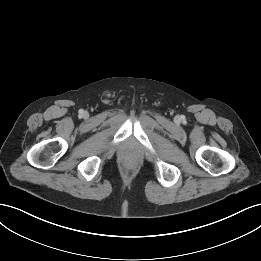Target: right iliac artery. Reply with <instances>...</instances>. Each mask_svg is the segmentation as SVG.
I'll return each instance as SVG.
<instances>
[{
	"label": "right iliac artery",
	"mask_w": 261,
	"mask_h": 261,
	"mask_svg": "<svg viewBox=\"0 0 261 261\" xmlns=\"http://www.w3.org/2000/svg\"><path fill=\"white\" fill-rule=\"evenodd\" d=\"M83 113V111H80V114H82Z\"/></svg>",
	"instance_id": "1"
}]
</instances>
